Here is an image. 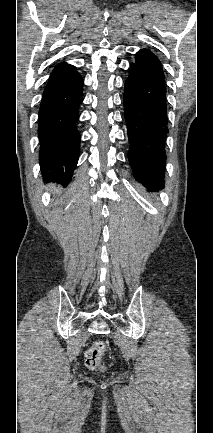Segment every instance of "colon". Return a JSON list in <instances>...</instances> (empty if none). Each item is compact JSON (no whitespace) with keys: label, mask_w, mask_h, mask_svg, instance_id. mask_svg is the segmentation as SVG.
Listing matches in <instances>:
<instances>
[{"label":"colon","mask_w":213,"mask_h":433,"mask_svg":"<svg viewBox=\"0 0 213 433\" xmlns=\"http://www.w3.org/2000/svg\"><path fill=\"white\" fill-rule=\"evenodd\" d=\"M105 352L106 343L102 340L95 341L85 353V366L89 369L99 368Z\"/></svg>","instance_id":"5ec220e1"}]
</instances>
